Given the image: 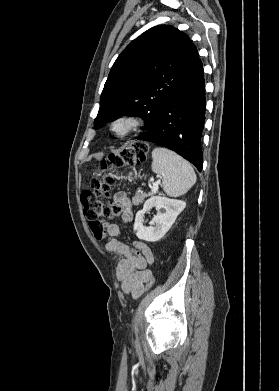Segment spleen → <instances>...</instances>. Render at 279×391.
Masks as SVG:
<instances>
[{
  "label": "spleen",
  "mask_w": 279,
  "mask_h": 391,
  "mask_svg": "<svg viewBox=\"0 0 279 391\" xmlns=\"http://www.w3.org/2000/svg\"><path fill=\"white\" fill-rule=\"evenodd\" d=\"M152 170L162 175L164 192L171 197L185 194L196 182V174L192 166L175 152L156 147L152 151Z\"/></svg>",
  "instance_id": "3e777b00"
}]
</instances>
